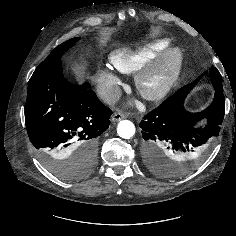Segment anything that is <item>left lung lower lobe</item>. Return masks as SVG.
I'll list each match as a JSON object with an SVG mask.
<instances>
[{
    "mask_svg": "<svg viewBox=\"0 0 236 236\" xmlns=\"http://www.w3.org/2000/svg\"><path fill=\"white\" fill-rule=\"evenodd\" d=\"M209 76L215 89V97L207 109L190 113L183 106L198 78L179 89L140 122L145 159L152 170L167 175L175 173L178 166L200 160L208 141L218 136L225 112V98L222 78L215 67L210 69ZM204 118L207 119V124L205 127H198L197 123Z\"/></svg>",
    "mask_w": 236,
    "mask_h": 236,
    "instance_id": "1",
    "label": "left lung lower lobe"
}]
</instances>
